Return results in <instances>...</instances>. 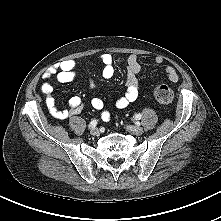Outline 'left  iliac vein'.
I'll return each mask as SVG.
<instances>
[{
  "label": "left iliac vein",
  "instance_id": "obj_1",
  "mask_svg": "<svg viewBox=\"0 0 221 221\" xmlns=\"http://www.w3.org/2000/svg\"><path fill=\"white\" fill-rule=\"evenodd\" d=\"M127 130L133 135H141L143 133V128L140 126L130 125L127 126Z\"/></svg>",
  "mask_w": 221,
  "mask_h": 221
}]
</instances>
